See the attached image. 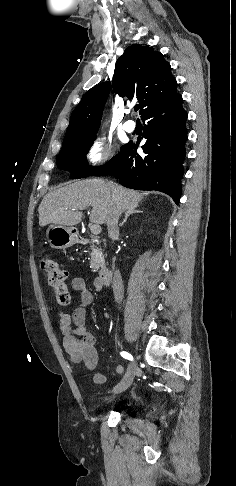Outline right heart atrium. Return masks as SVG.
Listing matches in <instances>:
<instances>
[{"mask_svg": "<svg viewBox=\"0 0 236 486\" xmlns=\"http://www.w3.org/2000/svg\"><path fill=\"white\" fill-rule=\"evenodd\" d=\"M114 153V146L110 139L105 135H98L91 142L86 159L91 165H100L107 162Z\"/></svg>", "mask_w": 236, "mask_h": 486, "instance_id": "1", "label": "right heart atrium"}]
</instances>
